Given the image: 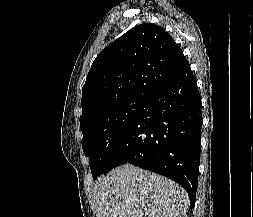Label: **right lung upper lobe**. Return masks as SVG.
I'll return each mask as SVG.
<instances>
[{
	"instance_id": "right-lung-upper-lobe-1",
	"label": "right lung upper lobe",
	"mask_w": 253,
	"mask_h": 217,
	"mask_svg": "<svg viewBox=\"0 0 253 217\" xmlns=\"http://www.w3.org/2000/svg\"><path fill=\"white\" fill-rule=\"evenodd\" d=\"M188 62L164 28L144 23L108 45L94 60L82 88L80 125L119 101L146 97Z\"/></svg>"
}]
</instances>
